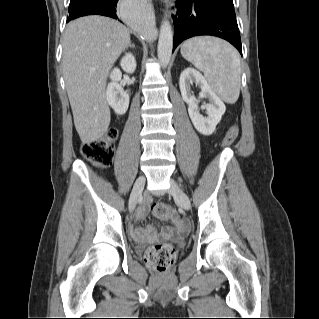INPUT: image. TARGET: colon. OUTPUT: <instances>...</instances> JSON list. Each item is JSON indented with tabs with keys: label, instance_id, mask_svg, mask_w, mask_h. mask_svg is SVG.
Masks as SVG:
<instances>
[{
	"label": "colon",
	"instance_id": "obj_1",
	"mask_svg": "<svg viewBox=\"0 0 319 319\" xmlns=\"http://www.w3.org/2000/svg\"><path fill=\"white\" fill-rule=\"evenodd\" d=\"M238 126L229 128L222 141V147H229L238 135ZM117 131L107 130L99 139L84 143L81 146L83 157L92 161L95 165L104 167L109 165L114 156L115 140ZM153 214L159 220H175L176 212L168 204H155ZM176 258V250L170 244H155L147 248L145 263L159 274H165Z\"/></svg>",
	"mask_w": 319,
	"mask_h": 319
}]
</instances>
